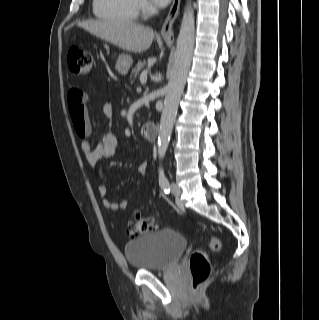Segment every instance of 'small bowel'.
Instances as JSON below:
<instances>
[{
    "instance_id": "small-bowel-1",
    "label": "small bowel",
    "mask_w": 319,
    "mask_h": 320,
    "mask_svg": "<svg viewBox=\"0 0 319 320\" xmlns=\"http://www.w3.org/2000/svg\"><path fill=\"white\" fill-rule=\"evenodd\" d=\"M87 94L79 88H72L68 93L69 113L74 126L83 125L91 131L90 120L87 112ZM103 113L107 117L113 114V105L111 102H105L102 107ZM119 148V141L115 134H105L96 146H92L89 141L81 143V151L84 158L91 166H95L100 160L114 157ZM148 169L146 162L142 163L139 170L145 174ZM98 195L102 198V204L109 211L125 210L129 204L128 200L115 202L107 197V188L104 185L98 186Z\"/></svg>"
}]
</instances>
